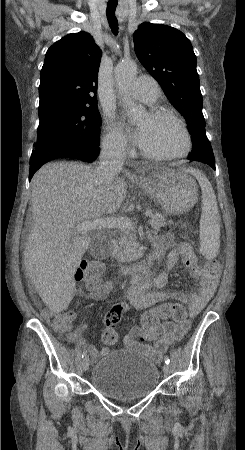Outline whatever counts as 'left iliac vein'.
<instances>
[{"label": "left iliac vein", "mask_w": 245, "mask_h": 450, "mask_svg": "<svg viewBox=\"0 0 245 450\" xmlns=\"http://www.w3.org/2000/svg\"><path fill=\"white\" fill-rule=\"evenodd\" d=\"M163 372H164L165 375H168V374H169V372H170V367H169L168 364H165V365L163 366Z\"/></svg>", "instance_id": "left-iliac-vein-1"}]
</instances>
